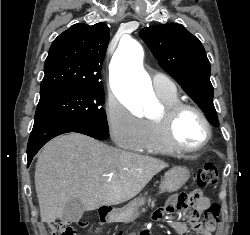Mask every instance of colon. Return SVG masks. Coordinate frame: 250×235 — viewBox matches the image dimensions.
<instances>
[{
	"label": "colon",
	"instance_id": "5ec220e1",
	"mask_svg": "<svg viewBox=\"0 0 250 235\" xmlns=\"http://www.w3.org/2000/svg\"><path fill=\"white\" fill-rule=\"evenodd\" d=\"M218 181V170L215 165L207 164L201 167L195 179L196 190L188 199L191 202L199 198L198 190L215 185ZM220 206L212 204L204 211L203 222L207 225H216L219 222ZM50 235H77L75 227L63 221H49L46 223Z\"/></svg>",
	"mask_w": 250,
	"mask_h": 235
}]
</instances>
